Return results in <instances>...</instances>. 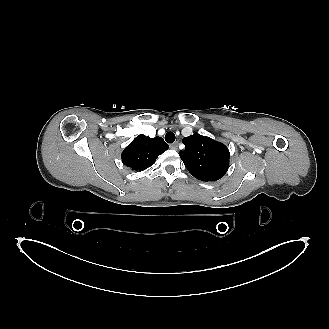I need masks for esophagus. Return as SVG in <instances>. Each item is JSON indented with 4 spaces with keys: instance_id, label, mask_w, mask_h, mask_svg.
<instances>
[{
    "instance_id": "1",
    "label": "esophagus",
    "mask_w": 329,
    "mask_h": 329,
    "mask_svg": "<svg viewBox=\"0 0 329 329\" xmlns=\"http://www.w3.org/2000/svg\"><path fill=\"white\" fill-rule=\"evenodd\" d=\"M170 148L173 149V150H177L178 149V143H172L170 144Z\"/></svg>"
}]
</instances>
